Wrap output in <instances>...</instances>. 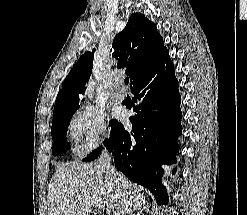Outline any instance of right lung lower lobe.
<instances>
[{
  "label": "right lung lower lobe",
  "instance_id": "obj_1",
  "mask_svg": "<svg viewBox=\"0 0 247 215\" xmlns=\"http://www.w3.org/2000/svg\"><path fill=\"white\" fill-rule=\"evenodd\" d=\"M131 92L139 102L134 108L137 114L130 117L132 129L112 120L110 138L104 144L112 152L118 170L149 189L157 203L167 205L161 165L176 162L177 138L182 132L181 97L168 50L133 82ZM100 151L98 148L83 160L95 159Z\"/></svg>",
  "mask_w": 247,
  "mask_h": 215
}]
</instances>
